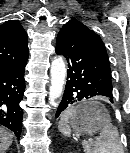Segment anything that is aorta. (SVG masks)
I'll return each mask as SVG.
<instances>
[{
  "instance_id": "aorta-1",
  "label": "aorta",
  "mask_w": 130,
  "mask_h": 153,
  "mask_svg": "<svg viewBox=\"0 0 130 153\" xmlns=\"http://www.w3.org/2000/svg\"><path fill=\"white\" fill-rule=\"evenodd\" d=\"M66 74V66L62 57L54 58L50 69L51 86L49 89V103L54 108L59 105V99L63 93Z\"/></svg>"
}]
</instances>
